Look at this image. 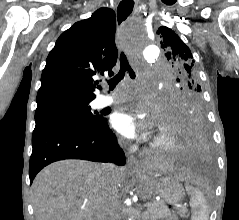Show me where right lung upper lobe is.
Segmentation results:
<instances>
[{"label": "right lung upper lobe", "mask_w": 239, "mask_h": 220, "mask_svg": "<svg viewBox=\"0 0 239 220\" xmlns=\"http://www.w3.org/2000/svg\"><path fill=\"white\" fill-rule=\"evenodd\" d=\"M115 30V12L100 8L63 32L47 57L37 108L90 103L96 97L92 76L111 75L116 64Z\"/></svg>", "instance_id": "cb5924a9"}]
</instances>
